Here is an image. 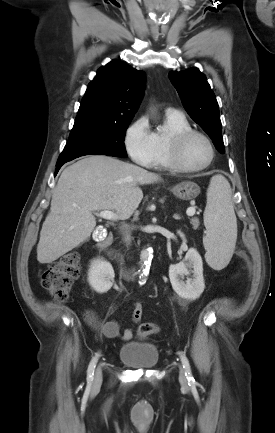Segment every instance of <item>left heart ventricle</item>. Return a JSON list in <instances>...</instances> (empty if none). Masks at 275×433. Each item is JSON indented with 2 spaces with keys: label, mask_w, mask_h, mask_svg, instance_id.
<instances>
[{
  "label": "left heart ventricle",
  "mask_w": 275,
  "mask_h": 433,
  "mask_svg": "<svg viewBox=\"0 0 275 433\" xmlns=\"http://www.w3.org/2000/svg\"><path fill=\"white\" fill-rule=\"evenodd\" d=\"M210 158V149L199 136L189 139L182 151L183 162L190 167L204 165Z\"/></svg>",
  "instance_id": "b2bd125f"
}]
</instances>
